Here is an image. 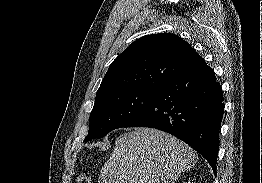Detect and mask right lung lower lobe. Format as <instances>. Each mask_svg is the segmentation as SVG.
Wrapping results in <instances>:
<instances>
[{"mask_svg":"<svg viewBox=\"0 0 262 183\" xmlns=\"http://www.w3.org/2000/svg\"><path fill=\"white\" fill-rule=\"evenodd\" d=\"M223 100L215 73L205 64L161 86L124 127H152L176 136L199 152L216 175Z\"/></svg>","mask_w":262,"mask_h":183,"instance_id":"right-lung-lower-lobe-1","label":"right lung lower lobe"}]
</instances>
